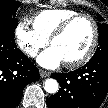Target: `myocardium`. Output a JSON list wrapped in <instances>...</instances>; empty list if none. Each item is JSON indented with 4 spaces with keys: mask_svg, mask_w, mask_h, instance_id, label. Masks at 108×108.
I'll return each mask as SVG.
<instances>
[{
    "mask_svg": "<svg viewBox=\"0 0 108 108\" xmlns=\"http://www.w3.org/2000/svg\"><path fill=\"white\" fill-rule=\"evenodd\" d=\"M80 19H85L87 21L90 22L92 29H93V36H92V40L91 43L88 47V49L85 51V53L80 56L79 58L72 60V61H68V62H64V65L67 68H76L79 66H82L83 64H85L86 62H88L91 57L93 56L96 47L98 45V40H99V28H98V24L96 22V20L89 14H85V13H77L69 18H67L66 20H64L56 29L55 31L52 33V35L49 38V42L52 45L53 42L60 37L61 35H63L67 29L77 20Z\"/></svg>",
    "mask_w": 108,
    "mask_h": 108,
    "instance_id": "obj_1",
    "label": "myocardium"
}]
</instances>
